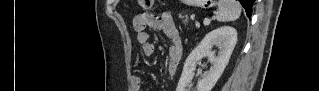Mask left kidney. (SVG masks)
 <instances>
[{"mask_svg":"<svg viewBox=\"0 0 319 91\" xmlns=\"http://www.w3.org/2000/svg\"><path fill=\"white\" fill-rule=\"evenodd\" d=\"M236 42L237 32L230 26H222L206 34L187 57L176 91H191L188 84L194 76L197 62L204 57H208L212 66L192 91H211L227 66ZM213 46L219 49L217 55L212 50Z\"/></svg>","mask_w":319,"mask_h":91,"instance_id":"obj_1","label":"left kidney"}]
</instances>
